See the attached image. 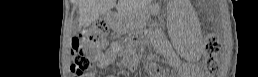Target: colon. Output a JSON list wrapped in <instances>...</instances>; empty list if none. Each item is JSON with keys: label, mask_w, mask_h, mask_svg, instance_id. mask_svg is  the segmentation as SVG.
Listing matches in <instances>:
<instances>
[{"label": "colon", "mask_w": 258, "mask_h": 77, "mask_svg": "<svg viewBox=\"0 0 258 77\" xmlns=\"http://www.w3.org/2000/svg\"><path fill=\"white\" fill-rule=\"evenodd\" d=\"M108 28L102 22H94L79 31L73 40L74 63L72 71L81 75L90 68L89 59L81 52L82 48L102 49L107 44ZM220 52V43L217 37L209 34L205 43L204 64L208 72L216 74L218 64L216 58Z\"/></svg>", "instance_id": "5ec220e1"}]
</instances>
